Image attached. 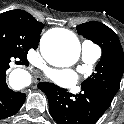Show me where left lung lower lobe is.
<instances>
[{"instance_id":"left-lung-lower-lobe-1","label":"left lung lower lobe","mask_w":124,"mask_h":124,"mask_svg":"<svg viewBox=\"0 0 124 124\" xmlns=\"http://www.w3.org/2000/svg\"><path fill=\"white\" fill-rule=\"evenodd\" d=\"M49 101V112L57 124H94L110 106L106 99L86 90L73 95L53 83L38 84Z\"/></svg>"}]
</instances>
